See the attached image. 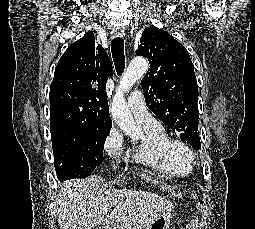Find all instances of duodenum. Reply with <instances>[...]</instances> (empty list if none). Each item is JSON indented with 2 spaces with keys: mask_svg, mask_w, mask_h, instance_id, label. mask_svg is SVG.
<instances>
[{
  "mask_svg": "<svg viewBox=\"0 0 255 229\" xmlns=\"http://www.w3.org/2000/svg\"><path fill=\"white\" fill-rule=\"evenodd\" d=\"M109 229H111V228H109ZM114 229H120V227L114 226Z\"/></svg>",
  "mask_w": 255,
  "mask_h": 229,
  "instance_id": "1",
  "label": "duodenum"
}]
</instances>
